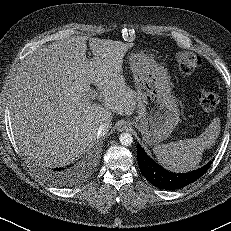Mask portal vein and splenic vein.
I'll list each match as a JSON object with an SVG mask.
<instances>
[{"label": "portal vein and splenic vein", "instance_id": "portal-vein-and-splenic-vein-1", "mask_svg": "<svg viewBox=\"0 0 231 231\" xmlns=\"http://www.w3.org/2000/svg\"><path fill=\"white\" fill-rule=\"evenodd\" d=\"M95 97H96L95 91L90 92V94L88 95V99H89V98L95 99Z\"/></svg>", "mask_w": 231, "mask_h": 231}]
</instances>
